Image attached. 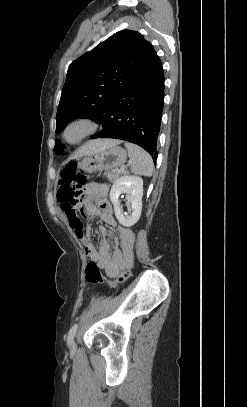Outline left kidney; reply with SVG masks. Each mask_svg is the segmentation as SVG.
I'll use <instances>...</instances> for the list:
<instances>
[{
	"label": "left kidney",
	"instance_id": "1",
	"mask_svg": "<svg viewBox=\"0 0 247 407\" xmlns=\"http://www.w3.org/2000/svg\"><path fill=\"white\" fill-rule=\"evenodd\" d=\"M126 194V201L131 204L130 214L124 213L120 206L119 196ZM143 180L138 176L125 175L118 178L112 185L110 200L119 223L125 227L136 224L142 210Z\"/></svg>",
	"mask_w": 247,
	"mask_h": 407
}]
</instances>
